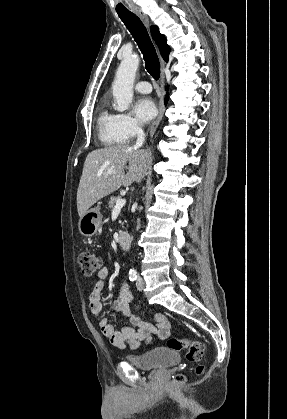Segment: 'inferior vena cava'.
Here are the masks:
<instances>
[{"label":"inferior vena cava","instance_id":"obj_1","mask_svg":"<svg viewBox=\"0 0 287 419\" xmlns=\"http://www.w3.org/2000/svg\"><path fill=\"white\" fill-rule=\"evenodd\" d=\"M137 141L135 144L136 148L141 147L145 142V133L141 127H136Z\"/></svg>","mask_w":287,"mask_h":419}]
</instances>
